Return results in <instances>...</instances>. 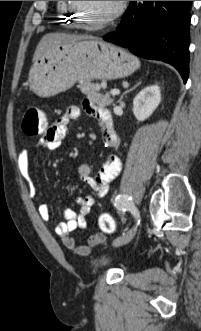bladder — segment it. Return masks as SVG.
<instances>
[{
	"label": "bladder",
	"mask_w": 201,
	"mask_h": 331,
	"mask_svg": "<svg viewBox=\"0 0 201 331\" xmlns=\"http://www.w3.org/2000/svg\"><path fill=\"white\" fill-rule=\"evenodd\" d=\"M112 264L113 261L108 255H101L92 261V267L96 269L107 268L110 267Z\"/></svg>",
	"instance_id": "obj_1"
}]
</instances>
